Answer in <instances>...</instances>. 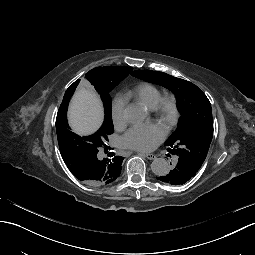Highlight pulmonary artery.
<instances>
[{
  "instance_id": "pulmonary-artery-1",
  "label": "pulmonary artery",
  "mask_w": 255,
  "mask_h": 255,
  "mask_svg": "<svg viewBox=\"0 0 255 255\" xmlns=\"http://www.w3.org/2000/svg\"><path fill=\"white\" fill-rule=\"evenodd\" d=\"M169 159H170L171 162L176 163V162L179 161L180 156H179L178 153L173 152V153L170 154Z\"/></svg>"
}]
</instances>
